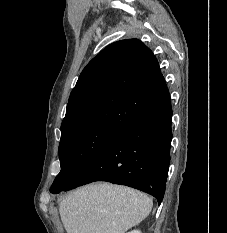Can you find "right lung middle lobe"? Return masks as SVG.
Here are the masks:
<instances>
[{"mask_svg": "<svg viewBox=\"0 0 227 233\" xmlns=\"http://www.w3.org/2000/svg\"><path fill=\"white\" fill-rule=\"evenodd\" d=\"M116 133L101 128H84L61 134V171L55 178L50 192L56 193L67 187Z\"/></svg>", "mask_w": 227, "mask_h": 233, "instance_id": "dd1d6c3e", "label": "right lung middle lobe"}]
</instances>
